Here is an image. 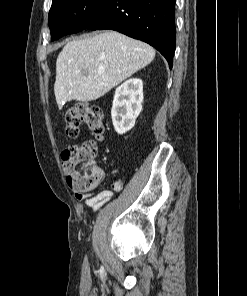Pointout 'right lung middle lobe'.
Here are the masks:
<instances>
[{
  "label": "right lung middle lobe",
  "instance_id": "right-lung-middle-lobe-1",
  "mask_svg": "<svg viewBox=\"0 0 247 296\" xmlns=\"http://www.w3.org/2000/svg\"><path fill=\"white\" fill-rule=\"evenodd\" d=\"M103 0H53L48 24L52 40L82 31Z\"/></svg>",
  "mask_w": 247,
  "mask_h": 296
}]
</instances>
